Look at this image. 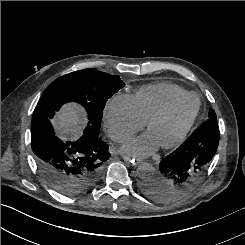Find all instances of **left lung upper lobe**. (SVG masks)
I'll return each instance as SVG.
<instances>
[{
  "label": "left lung upper lobe",
  "mask_w": 245,
  "mask_h": 245,
  "mask_svg": "<svg viewBox=\"0 0 245 245\" xmlns=\"http://www.w3.org/2000/svg\"><path fill=\"white\" fill-rule=\"evenodd\" d=\"M207 120L217 121L216 114H215L214 110L211 109L209 111V116H208Z\"/></svg>",
  "instance_id": "1"
}]
</instances>
